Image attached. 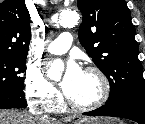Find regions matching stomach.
Masks as SVG:
<instances>
[{
  "mask_svg": "<svg viewBox=\"0 0 145 124\" xmlns=\"http://www.w3.org/2000/svg\"><path fill=\"white\" fill-rule=\"evenodd\" d=\"M116 120L110 118H83L74 122V124H114Z\"/></svg>",
  "mask_w": 145,
  "mask_h": 124,
  "instance_id": "obj_1",
  "label": "stomach"
}]
</instances>
